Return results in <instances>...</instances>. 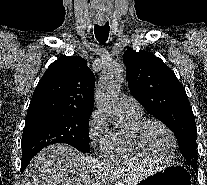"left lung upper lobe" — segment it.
Segmentation results:
<instances>
[{
  "mask_svg": "<svg viewBox=\"0 0 207 185\" xmlns=\"http://www.w3.org/2000/svg\"><path fill=\"white\" fill-rule=\"evenodd\" d=\"M133 97L176 135L186 161L197 163V130L186 91L175 73L153 53L127 49L123 55Z\"/></svg>",
  "mask_w": 207,
  "mask_h": 185,
  "instance_id": "5c2ea615",
  "label": "left lung upper lobe"
}]
</instances>
